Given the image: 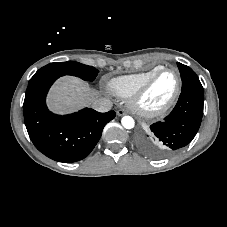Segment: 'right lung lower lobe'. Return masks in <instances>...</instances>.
<instances>
[{
  "mask_svg": "<svg viewBox=\"0 0 227 227\" xmlns=\"http://www.w3.org/2000/svg\"><path fill=\"white\" fill-rule=\"evenodd\" d=\"M59 77L30 79L23 104L24 120L31 141L41 153L55 161L71 163L89 155L116 113L88 108L63 116L51 113L45 103L46 94Z\"/></svg>",
  "mask_w": 227,
  "mask_h": 227,
  "instance_id": "right-lung-lower-lobe-1",
  "label": "right lung lower lobe"
}]
</instances>
